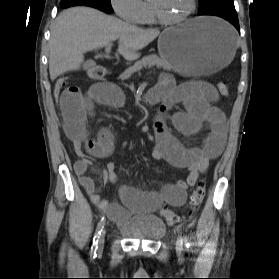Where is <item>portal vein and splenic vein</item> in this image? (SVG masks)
Masks as SVG:
<instances>
[{"label":"portal vein and splenic vein","instance_id":"18ae733b","mask_svg":"<svg viewBox=\"0 0 279 279\" xmlns=\"http://www.w3.org/2000/svg\"><path fill=\"white\" fill-rule=\"evenodd\" d=\"M105 49H106V53H109V51L111 50V43H108L105 45Z\"/></svg>","mask_w":279,"mask_h":279}]
</instances>
